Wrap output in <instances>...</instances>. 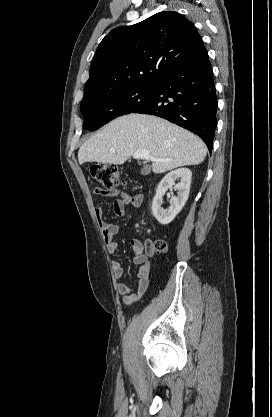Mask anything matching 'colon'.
I'll list each match as a JSON object with an SVG mask.
<instances>
[{
	"label": "colon",
	"instance_id": "1",
	"mask_svg": "<svg viewBox=\"0 0 272 417\" xmlns=\"http://www.w3.org/2000/svg\"><path fill=\"white\" fill-rule=\"evenodd\" d=\"M90 174L93 179L107 188H113L121 183L120 171L117 166L108 163H98L90 167ZM167 245L162 240H157L153 246L152 251L163 252Z\"/></svg>",
	"mask_w": 272,
	"mask_h": 417
}]
</instances>
